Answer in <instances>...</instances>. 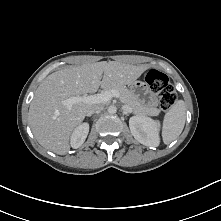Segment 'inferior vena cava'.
<instances>
[{
	"instance_id": "inferior-vena-cava-1",
	"label": "inferior vena cava",
	"mask_w": 221,
	"mask_h": 221,
	"mask_svg": "<svg viewBox=\"0 0 221 221\" xmlns=\"http://www.w3.org/2000/svg\"><path fill=\"white\" fill-rule=\"evenodd\" d=\"M103 110V106L95 105L92 107V109L87 113V115H92L95 113H99Z\"/></svg>"
}]
</instances>
